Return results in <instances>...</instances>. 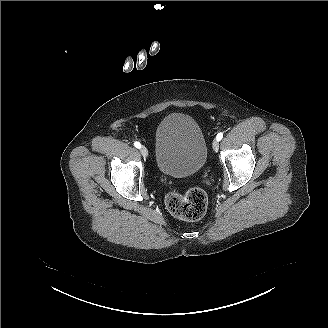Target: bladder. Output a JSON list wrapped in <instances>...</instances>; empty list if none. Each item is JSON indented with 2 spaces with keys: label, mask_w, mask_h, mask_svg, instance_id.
Wrapping results in <instances>:
<instances>
[{
  "label": "bladder",
  "mask_w": 328,
  "mask_h": 328,
  "mask_svg": "<svg viewBox=\"0 0 328 328\" xmlns=\"http://www.w3.org/2000/svg\"><path fill=\"white\" fill-rule=\"evenodd\" d=\"M155 159L162 174L182 176L204 168L206 145L192 117L175 113L163 119L156 130Z\"/></svg>",
  "instance_id": "1"
}]
</instances>
